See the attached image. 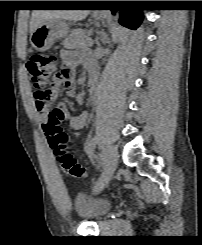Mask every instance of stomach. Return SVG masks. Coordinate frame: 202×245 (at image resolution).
<instances>
[{"label":"stomach","mask_w":202,"mask_h":245,"mask_svg":"<svg viewBox=\"0 0 202 245\" xmlns=\"http://www.w3.org/2000/svg\"><path fill=\"white\" fill-rule=\"evenodd\" d=\"M94 17L100 19L101 13H95ZM69 32V24L62 19H50L40 24L30 36L31 47L38 52L49 50L56 40L66 37Z\"/></svg>","instance_id":"obj_1"}]
</instances>
